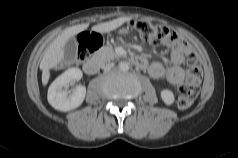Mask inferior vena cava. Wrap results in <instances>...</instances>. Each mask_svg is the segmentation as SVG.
I'll return each mask as SVG.
<instances>
[{"mask_svg": "<svg viewBox=\"0 0 238 158\" xmlns=\"http://www.w3.org/2000/svg\"><path fill=\"white\" fill-rule=\"evenodd\" d=\"M113 66H114L113 63H108V64H106V66L104 67V70H105V71H109Z\"/></svg>", "mask_w": 238, "mask_h": 158, "instance_id": "inferior-vena-cava-1", "label": "inferior vena cava"}]
</instances>
